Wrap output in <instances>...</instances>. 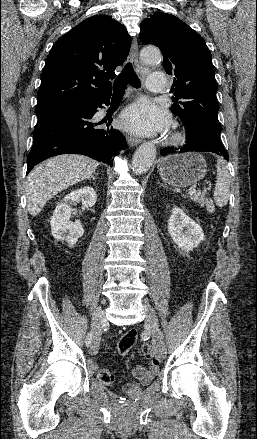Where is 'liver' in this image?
<instances>
[{
	"label": "liver",
	"instance_id": "liver-1",
	"mask_svg": "<svg viewBox=\"0 0 257 439\" xmlns=\"http://www.w3.org/2000/svg\"><path fill=\"white\" fill-rule=\"evenodd\" d=\"M98 165V162L82 155L64 154L34 168L25 187L30 215L37 216L46 202L60 191L91 178Z\"/></svg>",
	"mask_w": 257,
	"mask_h": 439
}]
</instances>
